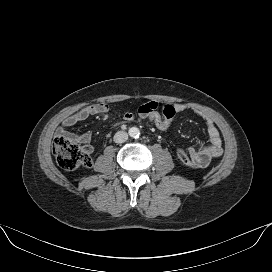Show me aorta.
Listing matches in <instances>:
<instances>
[{
    "label": "aorta",
    "instance_id": "aorta-1",
    "mask_svg": "<svg viewBox=\"0 0 272 272\" xmlns=\"http://www.w3.org/2000/svg\"><path fill=\"white\" fill-rule=\"evenodd\" d=\"M128 133H129V136L132 138H138L140 135V131L137 127H131Z\"/></svg>",
    "mask_w": 272,
    "mask_h": 272
}]
</instances>
